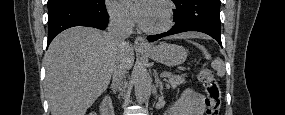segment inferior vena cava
<instances>
[{
  "mask_svg": "<svg viewBox=\"0 0 285 115\" xmlns=\"http://www.w3.org/2000/svg\"><path fill=\"white\" fill-rule=\"evenodd\" d=\"M133 22L123 14H116L110 17L108 26V38L117 49V57L113 68V84L118 90H121L123 79L125 78L126 67L123 61V52L127 46L126 38L132 33ZM122 95L126 94L125 90L121 91ZM119 107L123 106L122 102L118 103Z\"/></svg>",
  "mask_w": 285,
  "mask_h": 115,
  "instance_id": "602c4592",
  "label": "inferior vena cava"
}]
</instances>
